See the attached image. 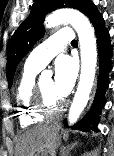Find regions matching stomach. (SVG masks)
I'll return each instance as SVG.
<instances>
[{
  "instance_id": "stomach-1",
  "label": "stomach",
  "mask_w": 114,
  "mask_h": 156,
  "mask_svg": "<svg viewBox=\"0 0 114 156\" xmlns=\"http://www.w3.org/2000/svg\"><path fill=\"white\" fill-rule=\"evenodd\" d=\"M60 126L53 124L50 127L47 138L40 149L34 154V156H55L56 148L60 143Z\"/></svg>"
}]
</instances>
